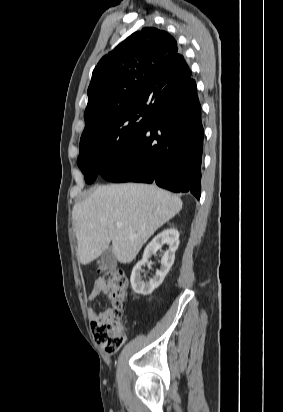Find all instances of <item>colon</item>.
<instances>
[{"instance_id":"1","label":"colon","mask_w":283,"mask_h":412,"mask_svg":"<svg viewBox=\"0 0 283 412\" xmlns=\"http://www.w3.org/2000/svg\"><path fill=\"white\" fill-rule=\"evenodd\" d=\"M109 290L112 308L101 318L92 322V333L95 342L107 353H116L125 342L123 309L127 299V277L120 270L108 271L104 274Z\"/></svg>"}]
</instances>
